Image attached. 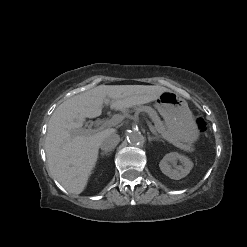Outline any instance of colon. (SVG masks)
Returning a JSON list of instances; mask_svg holds the SVG:
<instances>
[{"label": "colon", "mask_w": 247, "mask_h": 247, "mask_svg": "<svg viewBox=\"0 0 247 247\" xmlns=\"http://www.w3.org/2000/svg\"><path fill=\"white\" fill-rule=\"evenodd\" d=\"M197 125H198V129L200 130V132L203 133L206 131V124L202 119H198Z\"/></svg>", "instance_id": "1"}]
</instances>
